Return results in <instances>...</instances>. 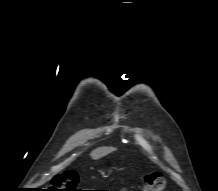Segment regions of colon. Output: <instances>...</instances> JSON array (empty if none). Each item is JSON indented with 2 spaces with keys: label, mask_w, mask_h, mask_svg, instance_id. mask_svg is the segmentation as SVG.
Returning a JSON list of instances; mask_svg holds the SVG:
<instances>
[{
  "label": "colon",
  "mask_w": 218,
  "mask_h": 191,
  "mask_svg": "<svg viewBox=\"0 0 218 191\" xmlns=\"http://www.w3.org/2000/svg\"><path fill=\"white\" fill-rule=\"evenodd\" d=\"M54 183L59 186L60 191H80L78 186V176L73 172H65L54 178ZM166 180L159 172H152L145 176L142 191H164Z\"/></svg>",
  "instance_id": "colon-1"
}]
</instances>
